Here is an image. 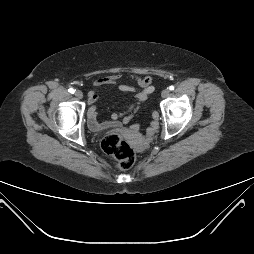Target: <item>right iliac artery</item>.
Masks as SVG:
<instances>
[{
	"label": "right iliac artery",
	"mask_w": 254,
	"mask_h": 254,
	"mask_svg": "<svg viewBox=\"0 0 254 254\" xmlns=\"http://www.w3.org/2000/svg\"><path fill=\"white\" fill-rule=\"evenodd\" d=\"M68 92H70L71 94H73V93L75 92V90H74L73 88H70V89L68 90Z\"/></svg>",
	"instance_id": "82829eb1"
}]
</instances>
